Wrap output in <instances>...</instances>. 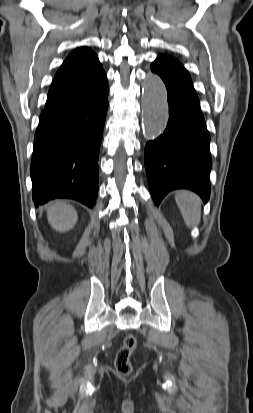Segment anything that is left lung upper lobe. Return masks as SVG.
<instances>
[{
	"mask_svg": "<svg viewBox=\"0 0 253 413\" xmlns=\"http://www.w3.org/2000/svg\"><path fill=\"white\" fill-rule=\"evenodd\" d=\"M161 56L175 60L174 58H172V57H170V56H168V55H161Z\"/></svg>",
	"mask_w": 253,
	"mask_h": 413,
	"instance_id": "1",
	"label": "left lung upper lobe"
}]
</instances>
